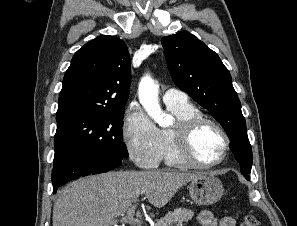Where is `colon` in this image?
Masks as SVG:
<instances>
[{
  "label": "colon",
  "mask_w": 297,
  "mask_h": 226,
  "mask_svg": "<svg viewBox=\"0 0 297 226\" xmlns=\"http://www.w3.org/2000/svg\"><path fill=\"white\" fill-rule=\"evenodd\" d=\"M241 226H258V219L252 214L243 217Z\"/></svg>",
  "instance_id": "obj_1"
}]
</instances>
